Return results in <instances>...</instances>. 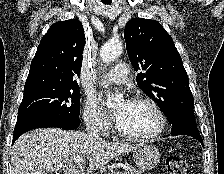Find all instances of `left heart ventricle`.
Masks as SVG:
<instances>
[{
  "label": "left heart ventricle",
  "instance_id": "1",
  "mask_svg": "<svg viewBox=\"0 0 224 174\" xmlns=\"http://www.w3.org/2000/svg\"><path fill=\"white\" fill-rule=\"evenodd\" d=\"M116 113L119 114L118 125L126 133L133 135H146L156 130L158 117L147 104H132L124 102L118 105Z\"/></svg>",
  "mask_w": 224,
  "mask_h": 174
}]
</instances>
